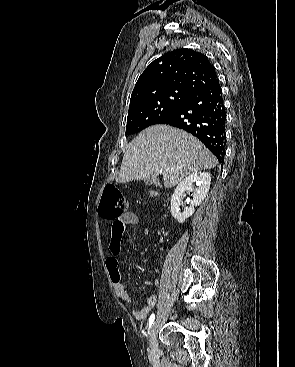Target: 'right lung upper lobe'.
Returning a JSON list of instances; mask_svg holds the SVG:
<instances>
[{"label": "right lung upper lobe", "instance_id": "1", "mask_svg": "<svg viewBox=\"0 0 295 367\" xmlns=\"http://www.w3.org/2000/svg\"><path fill=\"white\" fill-rule=\"evenodd\" d=\"M217 79L207 57L191 49H178L154 60L141 74L130 105L142 98L178 90L192 94Z\"/></svg>", "mask_w": 295, "mask_h": 367}]
</instances>
